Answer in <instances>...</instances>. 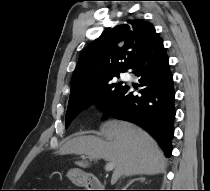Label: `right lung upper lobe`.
<instances>
[{
    "label": "right lung upper lobe",
    "mask_w": 210,
    "mask_h": 191,
    "mask_svg": "<svg viewBox=\"0 0 210 191\" xmlns=\"http://www.w3.org/2000/svg\"><path fill=\"white\" fill-rule=\"evenodd\" d=\"M158 37L151 23L129 20L105 31L80 54L71 79L69 99L89 92L101 79L125 72L137 57Z\"/></svg>",
    "instance_id": "cb5924a9"
}]
</instances>
